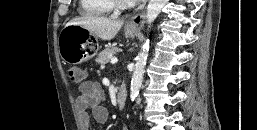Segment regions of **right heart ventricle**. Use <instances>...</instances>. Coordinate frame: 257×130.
<instances>
[{
  "instance_id": "e07e8e85",
  "label": "right heart ventricle",
  "mask_w": 257,
  "mask_h": 130,
  "mask_svg": "<svg viewBox=\"0 0 257 130\" xmlns=\"http://www.w3.org/2000/svg\"><path fill=\"white\" fill-rule=\"evenodd\" d=\"M79 10L85 15L102 16L112 12L113 8L107 0H79Z\"/></svg>"
}]
</instances>
